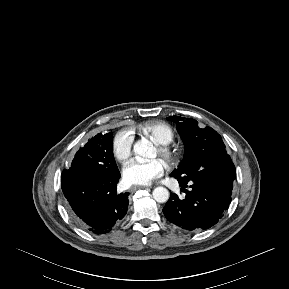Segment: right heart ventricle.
<instances>
[{"mask_svg":"<svg viewBox=\"0 0 289 289\" xmlns=\"http://www.w3.org/2000/svg\"><path fill=\"white\" fill-rule=\"evenodd\" d=\"M137 131L150 138L155 144H170L175 138L172 127L161 121H152L140 125Z\"/></svg>","mask_w":289,"mask_h":289,"instance_id":"e07e8e85","label":"right heart ventricle"}]
</instances>
